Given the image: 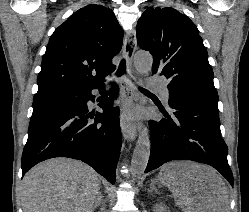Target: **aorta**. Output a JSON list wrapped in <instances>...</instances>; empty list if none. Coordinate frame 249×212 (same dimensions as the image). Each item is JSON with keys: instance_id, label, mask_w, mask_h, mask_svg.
<instances>
[{"instance_id": "1", "label": "aorta", "mask_w": 249, "mask_h": 212, "mask_svg": "<svg viewBox=\"0 0 249 212\" xmlns=\"http://www.w3.org/2000/svg\"><path fill=\"white\" fill-rule=\"evenodd\" d=\"M153 57L144 51H138L134 55V66L138 73L147 74L151 71ZM150 156V136L147 127L139 131L136 147L131 161V173L134 177H140L148 164Z\"/></svg>"}]
</instances>
